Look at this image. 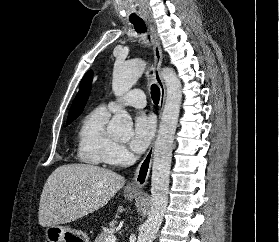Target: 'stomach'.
<instances>
[{
    "label": "stomach",
    "instance_id": "0dacf381",
    "mask_svg": "<svg viewBox=\"0 0 279 242\" xmlns=\"http://www.w3.org/2000/svg\"><path fill=\"white\" fill-rule=\"evenodd\" d=\"M128 199L137 197L136 193H127ZM46 242H88L87 236L68 226L51 225L45 229Z\"/></svg>",
    "mask_w": 279,
    "mask_h": 242
}]
</instances>
